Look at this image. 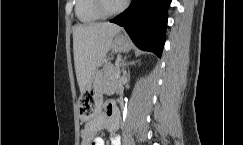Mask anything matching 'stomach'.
Returning a JSON list of instances; mask_svg holds the SVG:
<instances>
[{"label": "stomach", "mask_w": 243, "mask_h": 145, "mask_svg": "<svg viewBox=\"0 0 243 145\" xmlns=\"http://www.w3.org/2000/svg\"><path fill=\"white\" fill-rule=\"evenodd\" d=\"M113 48L117 52H125L129 50L130 45L125 36L118 34L113 41ZM105 79L107 78L105 77L104 71L96 70L91 76L82 97L79 99L80 101H78V106H80L79 111L83 120L88 121L94 116H98L101 103H103L100 92Z\"/></svg>", "instance_id": "0dacf381"}]
</instances>
